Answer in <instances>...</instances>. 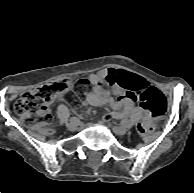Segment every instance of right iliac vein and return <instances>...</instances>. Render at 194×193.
Instances as JSON below:
<instances>
[{"mask_svg":"<svg viewBox=\"0 0 194 193\" xmlns=\"http://www.w3.org/2000/svg\"><path fill=\"white\" fill-rule=\"evenodd\" d=\"M78 124H79V121H78V122H69V123L67 124V128H68L70 131H75V130H77Z\"/></svg>","mask_w":194,"mask_h":193,"instance_id":"1","label":"right iliac vein"}]
</instances>
